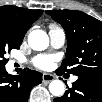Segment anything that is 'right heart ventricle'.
<instances>
[{
    "label": "right heart ventricle",
    "mask_w": 102,
    "mask_h": 102,
    "mask_svg": "<svg viewBox=\"0 0 102 102\" xmlns=\"http://www.w3.org/2000/svg\"><path fill=\"white\" fill-rule=\"evenodd\" d=\"M50 29H59V27L57 25H55V24H51Z\"/></svg>",
    "instance_id": "1"
}]
</instances>
